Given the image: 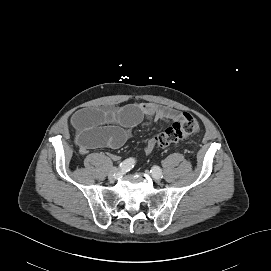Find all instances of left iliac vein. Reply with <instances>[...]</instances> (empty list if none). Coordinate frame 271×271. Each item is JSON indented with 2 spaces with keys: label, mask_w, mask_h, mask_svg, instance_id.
<instances>
[{
  "label": "left iliac vein",
  "mask_w": 271,
  "mask_h": 271,
  "mask_svg": "<svg viewBox=\"0 0 271 271\" xmlns=\"http://www.w3.org/2000/svg\"><path fill=\"white\" fill-rule=\"evenodd\" d=\"M147 173H149V172L147 171ZM152 177H153L154 181H156V182H159L162 178V176H154V175H152Z\"/></svg>",
  "instance_id": "1"
}]
</instances>
